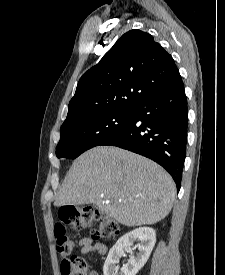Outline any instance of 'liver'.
<instances>
[{
	"label": "liver",
	"mask_w": 225,
	"mask_h": 275,
	"mask_svg": "<svg viewBox=\"0 0 225 275\" xmlns=\"http://www.w3.org/2000/svg\"><path fill=\"white\" fill-rule=\"evenodd\" d=\"M175 195L172 177L157 163L121 148L98 146L73 162L54 205L95 204L117 222L134 227L164 219Z\"/></svg>",
	"instance_id": "6515ba94"
}]
</instances>
